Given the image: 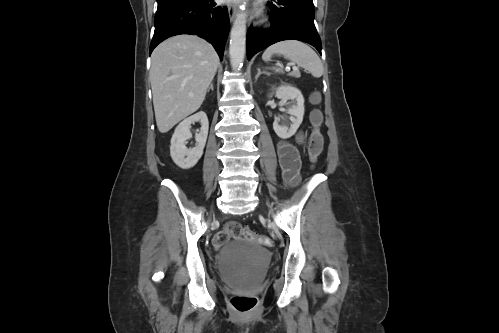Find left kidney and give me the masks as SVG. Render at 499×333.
<instances>
[{"mask_svg": "<svg viewBox=\"0 0 499 333\" xmlns=\"http://www.w3.org/2000/svg\"><path fill=\"white\" fill-rule=\"evenodd\" d=\"M274 93H271L270 97ZM275 95L283 103L289 105L287 113L290 117L278 116L273 122V129L278 137L287 139L292 137L303 121L304 97L299 89L291 85H280L275 88ZM290 100L291 102H288Z\"/></svg>", "mask_w": 499, "mask_h": 333, "instance_id": "1", "label": "left kidney"}]
</instances>
